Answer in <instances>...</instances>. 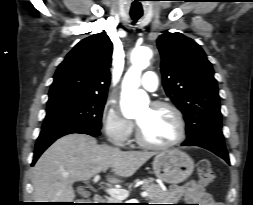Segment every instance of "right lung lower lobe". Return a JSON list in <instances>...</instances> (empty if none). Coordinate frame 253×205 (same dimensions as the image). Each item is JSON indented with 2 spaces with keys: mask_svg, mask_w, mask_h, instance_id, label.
<instances>
[{
  "mask_svg": "<svg viewBox=\"0 0 253 205\" xmlns=\"http://www.w3.org/2000/svg\"><path fill=\"white\" fill-rule=\"evenodd\" d=\"M71 133L88 134L94 137L100 134L99 130H91L81 127H61L42 130L36 142L32 166L35 164L39 156L45 151V149L50 146L56 139Z\"/></svg>",
  "mask_w": 253,
  "mask_h": 205,
  "instance_id": "obj_1",
  "label": "right lung lower lobe"
}]
</instances>
